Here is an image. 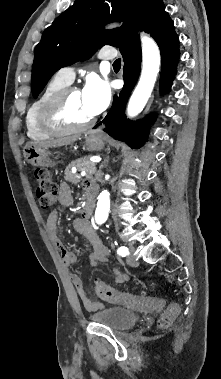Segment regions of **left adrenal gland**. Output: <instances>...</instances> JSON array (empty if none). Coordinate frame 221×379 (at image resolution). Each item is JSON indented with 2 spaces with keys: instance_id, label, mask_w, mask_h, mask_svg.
I'll list each match as a JSON object with an SVG mask.
<instances>
[{
  "instance_id": "left-adrenal-gland-1",
  "label": "left adrenal gland",
  "mask_w": 221,
  "mask_h": 379,
  "mask_svg": "<svg viewBox=\"0 0 221 379\" xmlns=\"http://www.w3.org/2000/svg\"><path fill=\"white\" fill-rule=\"evenodd\" d=\"M107 164H108V158L106 160H104V162L101 165V167H107Z\"/></svg>"
}]
</instances>
